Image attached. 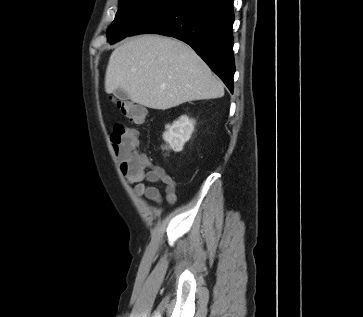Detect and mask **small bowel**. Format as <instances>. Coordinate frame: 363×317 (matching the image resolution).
Wrapping results in <instances>:
<instances>
[{
  "label": "small bowel",
  "mask_w": 363,
  "mask_h": 317,
  "mask_svg": "<svg viewBox=\"0 0 363 317\" xmlns=\"http://www.w3.org/2000/svg\"><path fill=\"white\" fill-rule=\"evenodd\" d=\"M144 158V165L139 170H133L131 168L123 169L121 171L126 181L133 185L134 194L138 197H146L148 200L160 204L162 202V195L159 189L149 183L165 184L166 200L170 204H174L177 200L176 197V182L165 172L161 167L154 166L147 162ZM150 167V170L146 171L145 168Z\"/></svg>",
  "instance_id": "1"
}]
</instances>
